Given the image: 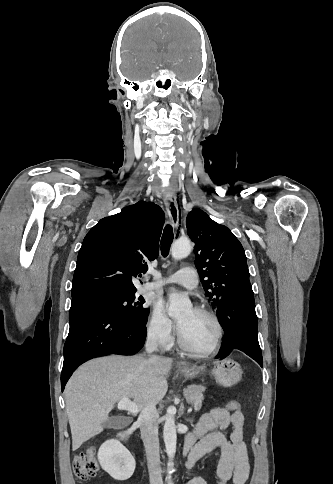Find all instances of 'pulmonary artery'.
<instances>
[{"label":"pulmonary artery","mask_w":333,"mask_h":484,"mask_svg":"<svg viewBox=\"0 0 333 484\" xmlns=\"http://www.w3.org/2000/svg\"><path fill=\"white\" fill-rule=\"evenodd\" d=\"M198 282L196 271L191 267H184L171 275L163 277L157 283H146L142 289L152 290L167 284H178L188 289H195L198 286Z\"/></svg>","instance_id":"obj_1"}]
</instances>
